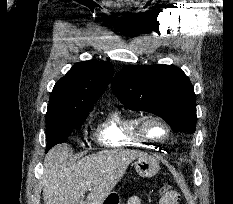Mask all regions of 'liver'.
Segmentation results:
<instances>
[{"mask_svg":"<svg viewBox=\"0 0 233 204\" xmlns=\"http://www.w3.org/2000/svg\"><path fill=\"white\" fill-rule=\"evenodd\" d=\"M70 146H54L46 155L43 169L44 204H103L121 180L129 164L145 153L137 150H104L67 162ZM91 192L85 198V192Z\"/></svg>","mask_w":233,"mask_h":204,"instance_id":"liver-1","label":"liver"}]
</instances>
